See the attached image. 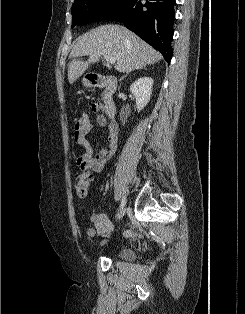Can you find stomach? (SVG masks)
Masks as SVG:
<instances>
[{"label":"stomach","mask_w":245,"mask_h":314,"mask_svg":"<svg viewBox=\"0 0 245 314\" xmlns=\"http://www.w3.org/2000/svg\"><path fill=\"white\" fill-rule=\"evenodd\" d=\"M83 85H84L85 87H89V86L91 85V83L88 81V79L83 78Z\"/></svg>","instance_id":"obj_1"}]
</instances>
